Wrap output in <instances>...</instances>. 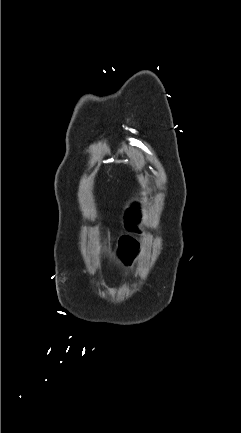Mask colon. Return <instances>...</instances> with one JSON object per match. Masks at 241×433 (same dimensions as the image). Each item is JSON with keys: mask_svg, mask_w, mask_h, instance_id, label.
Instances as JSON below:
<instances>
[{"mask_svg": "<svg viewBox=\"0 0 241 433\" xmlns=\"http://www.w3.org/2000/svg\"><path fill=\"white\" fill-rule=\"evenodd\" d=\"M138 186L140 190H147L149 185L147 181H140ZM129 205L130 207L124 209L123 222L125 226H132L135 220L143 221L145 217L144 213L133 209L146 208L148 203L143 201L141 196H135ZM133 213H135V216ZM134 217L135 220L133 219ZM91 218L96 220L98 215L93 213ZM99 236L102 238L100 249L104 247L108 258L115 256L127 260V257H131L133 252H137L139 249L137 239H134L133 234H121L120 230H110L108 226H103Z\"/></svg>", "mask_w": 241, "mask_h": 433, "instance_id": "5ec220e1", "label": "colon"}]
</instances>
